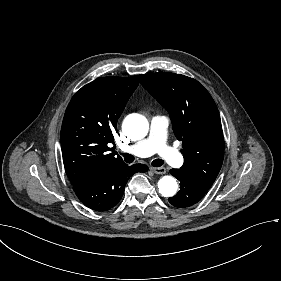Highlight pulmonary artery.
<instances>
[{
	"label": "pulmonary artery",
	"mask_w": 281,
	"mask_h": 281,
	"mask_svg": "<svg viewBox=\"0 0 281 281\" xmlns=\"http://www.w3.org/2000/svg\"><path fill=\"white\" fill-rule=\"evenodd\" d=\"M171 120L168 116L159 113L149 121L148 130L152 132L147 137V141H138L132 146V153L135 156L149 158L152 153L157 152L164 157V160L173 168H181L184 165V158L177 154L170 143L166 140L165 135Z\"/></svg>",
	"instance_id": "e3ab8cb5"
}]
</instances>
